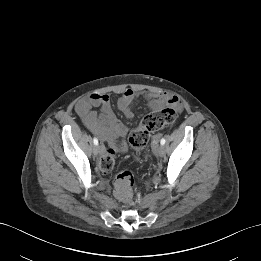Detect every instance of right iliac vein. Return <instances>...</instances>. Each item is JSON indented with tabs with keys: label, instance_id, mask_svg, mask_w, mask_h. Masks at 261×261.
<instances>
[{
	"label": "right iliac vein",
	"instance_id": "1",
	"mask_svg": "<svg viewBox=\"0 0 261 261\" xmlns=\"http://www.w3.org/2000/svg\"><path fill=\"white\" fill-rule=\"evenodd\" d=\"M93 153H94L95 155H98V154L100 153V146L95 145V146L93 147Z\"/></svg>",
	"mask_w": 261,
	"mask_h": 261
}]
</instances>
